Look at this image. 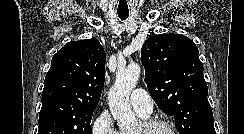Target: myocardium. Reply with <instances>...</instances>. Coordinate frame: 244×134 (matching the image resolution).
<instances>
[{
  "mask_svg": "<svg viewBox=\"0 0 244 134\" xmlns=\"http://www.w3.org/2000/svg\"><path fill=\"white\" fill-rule=\"evenodd\" d=\"M158 126L166 127L171 134H179L176 127L171 122L162 119H148L143 121L135 134H150L151 131Z\"/></svg>",
  "mask_w": 244,
  "mask_h": 134,
  "instance_id": "f54148a6",
  "label": "myocardium"
}]
</instances>
